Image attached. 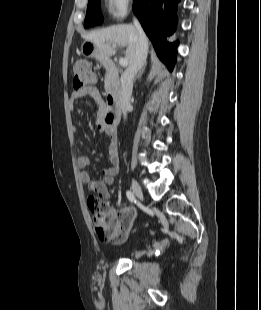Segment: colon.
Listing matches in <instances>:
<instances>
[{"label": "colon", "mask_w": 261, "mask_h": 310, "mask_svg": "<svg viewBox=\"0 0 261 310\" xmlns=\"http://www.w3.org/2000/svg\"><path fill=\"white\" fill-rule=\"evenodd\" d=\"M95 83L96 73L90 62L85 59L75 60L72 65L73 89L80 92L93 87ZM87 204L93 215L95 230L100 240L114 244L123 242L137 213L136 206L129 204L113 217L109 215L107 205L101 198L91 196Z\"/></svg>", "instance_id": "5ec220e1"}]
</instances>
